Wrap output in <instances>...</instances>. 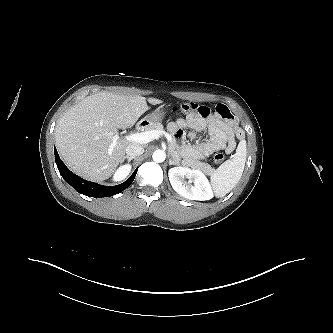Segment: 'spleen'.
Returning a JSON list of instances; mask_svg holds the SVG:
<instances>
[{"instance_id":"3e777b00","label":"spleen","mask_w":333,"mask_h":333,"mask_svg":"<svg viewBox=\"0 0 333 333\" xmlns=\"http://www.w3.org/2000/svg\"><path fill=\"white\" fill-rule=\"evenodd\" d=\"M246 155V141L241 140L235 154L211 174V182L218 198L224 197L239 182L244 171Z\"/></svg>"}]
</instances>
